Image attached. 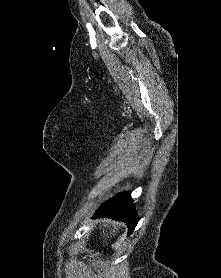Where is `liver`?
<instances>
[{
	"instance_id": "liver-1",
	"label": "liver",
	"mask_w": 221,
	"mask_h": 278,
	"mask_svg": "<svg viewBox=\"0 0 221 278\" xmlns=\"http://www.w3.org/2000/svg\"><path fill=\"white\" fill-rule=\"evenodd\" d=\"M104 222V225L107 226V225H110L111 224V221L109 219H106L103 221ZM104 232V231H103ZM115 233V230L113 231Z\"/></svg>"
}]
</instances>
